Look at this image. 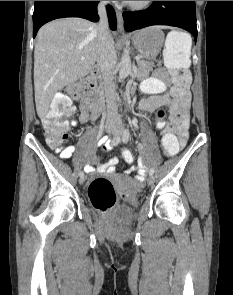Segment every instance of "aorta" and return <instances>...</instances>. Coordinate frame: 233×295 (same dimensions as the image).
<instances>
[{
  "label": "aorta",
  "mask_w": 233,
  "mask_h": 295,
  "mask_svg": "<svg viewBox=\"0 0 233 295\" xmlns=\"http://www.w3.org/2000/svg\"><path fill=\"white\" fill-rule=\"evenodd\" d=\"M119 66H120L119 77L121 79H124L130 74L132 70L131 59L127 50H124Z\"/></svg>",
  "instance_id": "1"
}]
</instances>
